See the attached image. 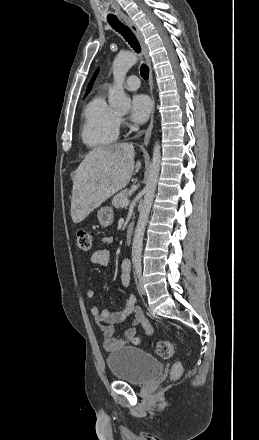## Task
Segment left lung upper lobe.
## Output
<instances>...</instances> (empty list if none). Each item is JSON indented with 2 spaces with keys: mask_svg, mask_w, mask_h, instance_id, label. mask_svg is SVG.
I'll return each mask as SVG.
<instances>
[{
  "mask_svg": "<svg viewBox=\"0 0 259 440\" xmlns=\"http://www.w3.org/2000/svg\"><path fill=\"white\" fill-rule=\"evenodd\" d=\"M98 71H99V69L96 70L94 76L92 77V80H91V82H90V84H89V87H88L87 93L90 91L91 85L93 84V82H94V80H95V78H96V76H97V74H98Z\"/></svg>",
  "mask_w": 259,
  "mask_h": 440,
  "instance_id": "left-lung-upper-lobe-1",
  "label": "left lung upper lobe"
}]
</instances>
